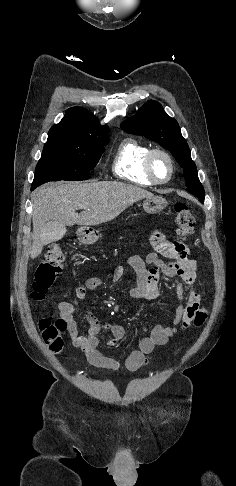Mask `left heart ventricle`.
I'll use <instances>...</instances> for the list:
<instances>
[{
	"instance_id": "left-heart-ventricle-1",
	"label": "left heart ventricle",
	"mask_w": 236,
	"mask_h": 486,
	"mask_svg": "<svg viewBox=\"0 0 236 486\" xmlns=\"http://www.w3.org/2000/svg\"><path fill=\"white\" fill-rule=\"evenodd\" d=\"M152 169L154 175L160 180L166 179L170 172V167L167 160L159 155L154 157Z\"/></svg>"
}]
</instances>
